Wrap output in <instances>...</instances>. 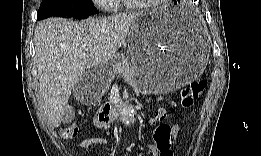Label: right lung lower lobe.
<instances>
[{
    "label": "right lung lower lobe",
    "mask_w": 261,
    "mask_h": 156,
    "mask_svg": "<svg viewBox=\"0 0 261 156\" xmlns=\"http://www.w3.org/2000/svg\"><path fill=\"white\" fill-rule=\"evenodd\" d=\"M89 15H86V16H80V17H77L76 19H84V18H87Z\"/></svg>",
    "instance_id": "1"
}]
</instances>
